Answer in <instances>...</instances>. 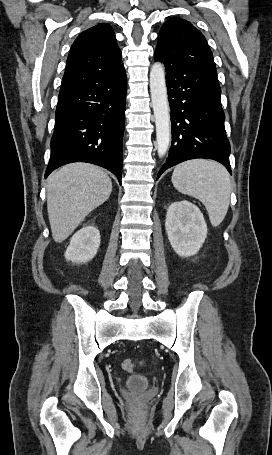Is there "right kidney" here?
Segmentation results:
<instances>
[{"mask_svg":"<svg viewBox=\"0 0 272 455\" xmlns=\"http://www.w3.org/2000/svg\"><path fill=\"white\" fill-rule=\"evenodd\" d=\"M99 246V230L94 226H85L77 231L70 239V244L65 252V258L75 263L88 262L95 257Z\"/></svg>","mask_w":272,"mask_h":455,"instance_id":"obj_1","label":"right kidney"}]
</instances>
